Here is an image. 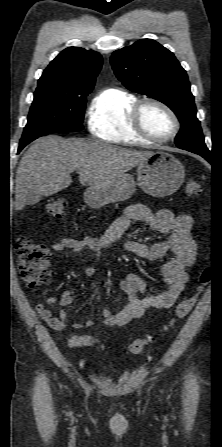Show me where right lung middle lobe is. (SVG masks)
I'll return each mask as SVG.
<instances>
[{
  "mask_svg": "<svg viewBox=\"0 0 222 447\" xmlns=\"http://www.w3.org/2000/svg\"><path fill=\"white\" fill-rule=\"evenodd\" d=\"M88 94L77 96L56 89H36L19 151L38 137L82 130Z\"/></svg>",
  "mask_w": 222,
  "mask_h": 447,
  "instance_id": "right-lung-middle-lobe-1",
  "label": "right lung middle lobe"
}]
</instances>
